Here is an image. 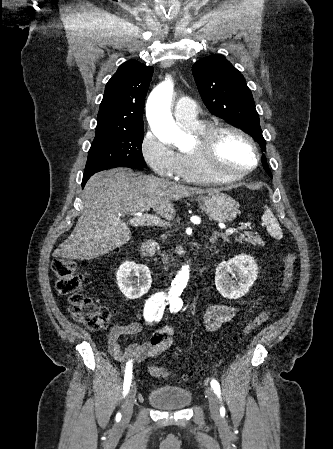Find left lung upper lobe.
<instances>
[{
  "instance_id": "5c2ea615",
  "label": "left lung upper lobe",
  "mask_w": 333,
  "mask_h": 449,
  "mask_svg": "<svg viewBox=\"0 0 333 449\" xmlns=\"http://www.w3.org/2000/svg\"><path fill=\"white\" fill-rule=\"evenodd\" d=\"M192 73L208 110L249 133L265 151L259 115L242 74L220 54L194 63Z\"/></svg>"
}]
</instances>
